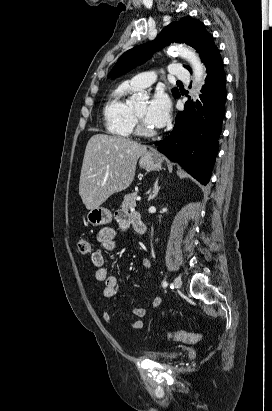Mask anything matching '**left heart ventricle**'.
<instances>
[{
    "instance_id": "obj_1",
    "label": "left heart ventricle",
    "mask_w": 272,
    "mask_h": 411,
    "mask_svg": "<svg viewBox=\"0 0 272 411\" xmlns=\"http://www.w3.org/2000/svg\"><path fill=\"white\" fill-rule=\"evenodd\" d=\"M134 110L136 112V114L139 116L141 122L143 123L144 126H146L147 128H152L145 119V113H146V109H147V103L143 102L140 104L135 105Z\"/></svg>"
}]
</instances>
